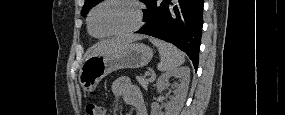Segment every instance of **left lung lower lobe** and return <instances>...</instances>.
Returning a JSON list of instances; mask_svg holds the SVG:
<instances>
[{
    "instance_id": "0a47b994",
    "label": "left lung lower lobe",
    "mask_w": 285,
    "mask_h": 115,
    "mask_svg": "<svg viewBox=\"0 0 285 115\" xmlns=\"http://www.w3.org/2000/svg\"><path fill=\"white\" fill-rule=\"evenodd\" d=\"M145 25L137 33L174 44L192 60L195 69L203 26L202 0H145Z\"/></svg>"
}]
</instances>
